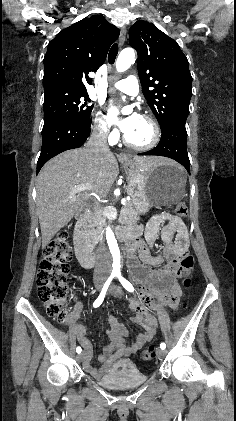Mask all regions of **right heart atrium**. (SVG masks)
Listing matches in <instances>:
<instances>
[{"label": "right heart atrium", "mask_w": 236, "mask_h": 421, "mask_svg": "<svg viewBox=\"0 0 236 421\" xmlns=\"http://www.w3.org/2000/svg\"><path fill=\"white\" fill-rule=\"evenodd\" d=\"M93 129L99 138L106 141H113L117 136V132L113 129L109 116L101 108H98L94 112Z\"/></svg>", "instance_id": "right-heart-atrium-1"}]
</instances>
